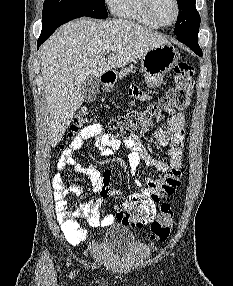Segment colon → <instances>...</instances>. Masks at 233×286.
<instances>
[{
  "label": "colon",
  "mask_w": 233,
  "mask_h": 286,
  "mask_svg": "<svg viewBox=\"0 0 233 286\" xmlns=\"http://www.w3.org/2000/svg\"><path fill=\"white\" fill-rule=\"evenodd\" d=\"M194 68L187 62H179L174 67V83L157 103L150 105L146 110L133 112L127 117L112 119L109 126L118 134L134 136L144 131L152 122L159 121L164 116L172 114L187 107L193 88ZM96 115L87 107L79 109L74 117L70 136L83 127L93 125ZM63 148V146H62ZM148 200L135 201L128 217L135 223H139L145 217L143 207ZM176 210L170 203H163L160 211L151 223V237L156 241H164L168 238Z\"/></svg>",
  "instance_id": "1"
}]
</instances>
